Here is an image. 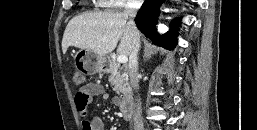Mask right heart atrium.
Instances as JSON below:
<instances>
[{
  "mask_svg": "<svg viewBox=\"0 0 257 130\" xmlns=\"http://www.w3.org/2000/svg\"><path fill=\"white\" fill-rule=\"evenodd\" d=\"M99 4L102 7L106 8H126V7H133L138 4L142 0H98Z\"/></svg>",
  "mask_w": 257,
  "mask_h": 130,
  "instance_id": "right-heart-atrium-1",
  "label": "right heart atrium"
}]
</instances>
